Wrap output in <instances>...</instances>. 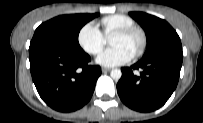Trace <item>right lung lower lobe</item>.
<instances>
[{
	"label": "right lung lower lobe",
	"mask_w": 203,
	"mask_h": 123,
	"mask_svg": "<svg viewBox=\"0 0 203 123\" xmlns=\"http://www.w3.org/2000/svg\"><path fill=\"white\" fill-rule=\"evenodd\" d=\"M30 71L43 101L52 109L71 112L92 97L101 75L100 66L89 65L83 50L71 51L44 44H30Z\"/></svg>",
	"instance_id": "1"
}]
</instances>
